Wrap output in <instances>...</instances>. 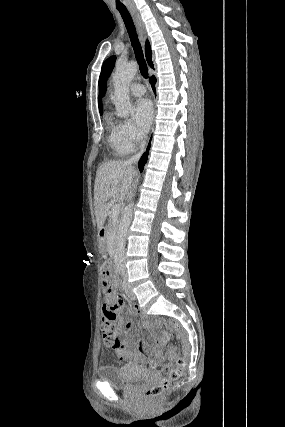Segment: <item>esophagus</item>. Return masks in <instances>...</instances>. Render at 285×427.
Returning a JSON list of instances; mask_svg holds the SVG:
<instances>
[{
    "label": "esophagus",
    "instance_id": "esophagus-1",
    "mask_svg": "<svg viewBox=\"0 0 285 427\" xmlns=\"http://www.w3.org/2000/svg\"><path fill=\"white\" fill-rule=\"evenodd\" d=\"M128 9H129L130 14L132 15L134 23L136 25V29L138 32L140 43L144 47L145 41H146V31H145L144 23H143L140 15H139V13L137 12V10L133 6H129Z\"/></svg>",
    "mask_w": 285,
    "mask_h": 427
}]
</instances>
